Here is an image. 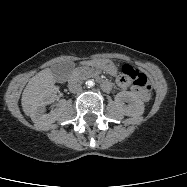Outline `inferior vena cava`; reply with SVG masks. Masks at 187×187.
<instances>
[{"label":"inferior vena cava","instance_id":"inferior-vena-cava-1","mask_svg":"<svg viewBox=\"0 0 187 187\" xmlns=\"http://www.w3.org/2000/svg\"><path fill=\"white\" fill-rule=\"evenodd\" d=\"M68 87H69V91L71 93H80V92H82V86L78 82H71V83H69Z\"/></svg>","mask_w":187,"mask_h":187}]
</instances>
